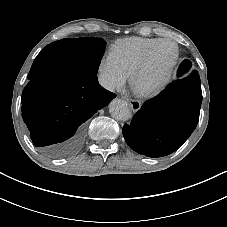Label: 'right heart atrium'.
<instances>
[{"label":"right heart atrium","mask_w":227,"mask_h":227,"mask_svg":"<svg viewBox=\"0 0 227 227\" xmlns=\"http://www.w3.org/2000/svg\"><path fill=\"white\" fill-rule=\"evenodd\" d=\"M101 83L108 91H116L123 87L128 75L110 57L102 58L98 66Z\"/></svg>","instance_id":"right-heart-atrium-1"}]
</instances>
